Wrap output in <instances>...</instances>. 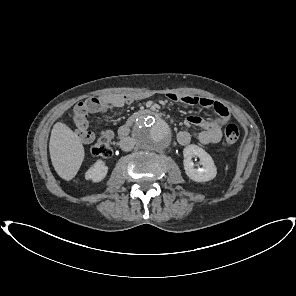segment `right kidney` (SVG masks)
Masks as SVG:
<instances>
[{
    "instance_id": "ca27d5eb",
    "label": "right kidney",
    "mask_w": 296,
    "mask_h": 296,
    "mask_svg": "<svg viewBox=\"0 0 296 296\" xmlns=\"http://www.w3.org/2000/svg\"><path fill=\"white\" fill-rule=\"evenodd\" d=\"M108 172V167L102 160H98L86 173L85 179L92 182H100L103 180Z\"/></svg>"
}]
</instances>
